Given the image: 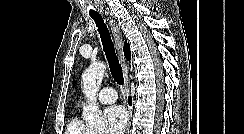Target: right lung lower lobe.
<instances>
[{
    "label": "right lung lower lobe",
    "mask_w": 244,
    "mask_h": 134,
    "mask_svg": "<svg viewBox=\"0 0 244 134\" xmlns=\"http://www.w3.org/2000/svg\"><path fill=\"white\" fill-rule=\"evenodd\" d=\"M129 104L131 105V100H129Z\"/></svg>",
    "instance_id": "right-lung-lower-lobe-1"
}]
</instances>
